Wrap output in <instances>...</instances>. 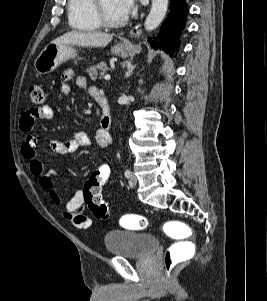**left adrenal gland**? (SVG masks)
<instances>
[{
	"instance_id": "obj_1",
	"label": "left adrenal gland",
	"mask_w": 267,
	"mask_h": 301,
	"mask_svg": "<svg viewBox=\"0 0 267 301\" xmlns=\"http://www.w3.org/2000/svg\"><path fill=\"white\" fill-rule=\"evenodd\" d=\"M127 71L125 73V78L129 77L133 70L135 69L136 65H133L131 61H127L126 63Z\"/></svg>"
}]
</instances>
